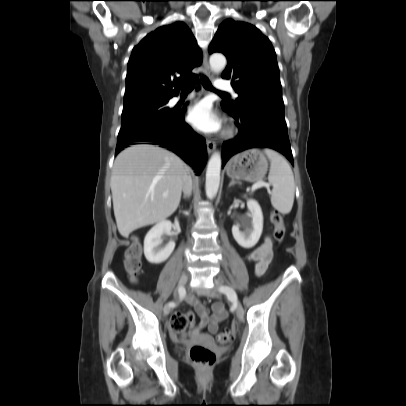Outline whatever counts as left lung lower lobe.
I'll return each mask as SVG.
<instances>
[{
	"label": "left lung lower lobe",
	"mask_w": 406,
	"mask_h": 406,
	"mask_svg": "<svg viewBox=\"0 0 406 406\" xmlns=\"http://www.w3.org/2000/svg\"><path fill=\"white\" fill-rule=\"evenodd\" d=\"M239 134L223 144V163L236 153L249 148H271L287 157L293 164L284 113L268 108L255 107L244 114L235 115Z\"/></svg>",
	"instance_id": "obj_1"
}]
</instances>
